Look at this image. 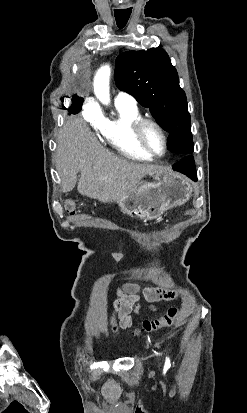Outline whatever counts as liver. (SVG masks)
<instances>
[{"label": "liver", "instance_id": "obj_1", "mask_svg": "<svg viewBox=\"0 0 247 413\" xmlns=\"http://www.w3.org/2000/svg\"><path fill=\"white\" fill-rule=\"evenodd\" d=\"M56 168L62 192L74 188L81 170L78 192L101 202H117L143 176L160 166L118 156L101 144L84 118L73 116L59 130Z\"/></svg>", "mask_w": 247, "mask_h": 413}]
</instances>
